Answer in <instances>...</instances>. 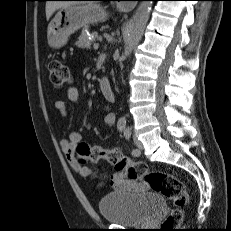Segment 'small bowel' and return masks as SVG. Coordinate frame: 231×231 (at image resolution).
Listing matches in <instances>:
<instances>
[{
  "label": "small bowel",
  "mask_w": 231,
  "mask_h": 231,
  "mask_svg": "<svg viewBox=\"0 0 231 231\" xmlns=\"http://www.w3.org/2000/svg\"><path fill=\"white\" fill-rule=\"evenodd\" d=\"M68 98L77 102L79 100V93L75 87H71L67 91ZM55 108L61 117H66L68 114L66 103L62 100L55 102ZM116 117L113 113H106L103 119V123L107 127L114 126ZM81 141V134L78 131H73L70 133L67 139H62L60 141V147L62 152L65 154L66 158L74 168V170L83 178H88L92 170L87 166H82L78 163L75 156V147ZM113 184L120 190L128 192H146L148 186L144 182L131 181L123 177L122 174H116L113 177Z\"/></svg>",
  "instance_id": "c3829d8e"
}]
</instances>
